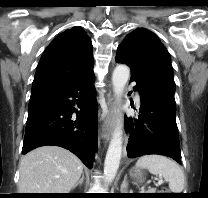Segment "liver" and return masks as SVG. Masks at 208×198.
I'll return each mask as SVG.
<instances>
[{"label": "liver", "instance_id": "1", "mask_svg": "<svg viewBox=\"0 0 208 198\" xmlns=\"http://www.w3.org/2000/svg\"><path fill=\"white\" fill-rule=\"evenodd\" d=\"M83 172V164L70 151L42 146L20 161V193H69Z\"/></svg>", "mask_w": 208, "mask_h": 198}]
</instances>
